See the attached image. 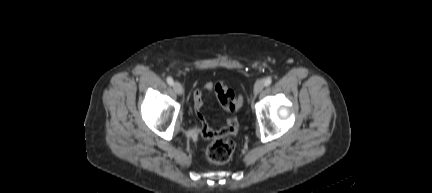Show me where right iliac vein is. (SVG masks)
Returning <instances> with one entry per match:
<instances>
[{
  "mask_svg": "<svg viewBox=\"0 0 432 193\" xmlns=\"http://www.w3.org/2000/svg\"><path fill=\"white\" fill-rule=\"evenodd\" d=\"M173 90L175 91V93L177 95H182L183 94V87L179 82H174L173 83Z\"/></svg>",
  "mask_w": 432,
  "mask_h": 193,
  "instance_id": "1",
  "label": "right iliac vein"
}]
</instances>
